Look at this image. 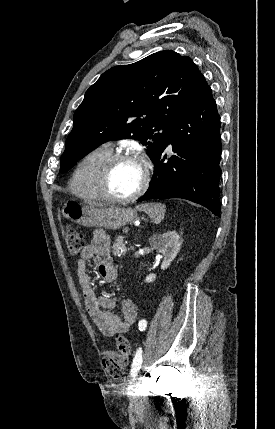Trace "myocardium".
Listing matches in <instances>:
<instances>
[{
    "label": "myocardium",
    "mask_w": 275,
    "mask_h": 429,
    "mask_svg": "<svg viewBox=\"0 0 275 429\" xmlns=\"http://www.w3.org/2000/svg\"><path fill=\"white\" fill-rule=\"evenodd\" d=\"M125 160L138 161L143 168V178L138 189L129 196L119 197L113 195L108 189V181L115 165ZM150 178V167L147 160L140 154L132 151L118 152L108 157L101 165L95 181L96 191L103 200L113 203H129L138 199L147 189Z\"/></svg>",
    "instance_id": "myocardium-1"
}]
</instances>
